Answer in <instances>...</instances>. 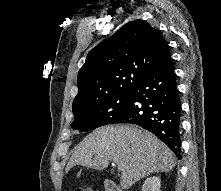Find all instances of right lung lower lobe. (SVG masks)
<instances>
[{
  "instance_id": "98d812e1",
  "label": "right lung lower lobe",
  "mask_w": 221,
  "mask_h": 191,
  "mask_svg": "<svg viewBox=\"0 0 221 191\" xmlns=\"http://www.w3.org/2000/svg\"><path fill=\"white\" fill-rule=\"evenodd\" d=\"M132 93L127 112L116 123L137 124L155 134L175 154L180 153L181 102L170 53Z\"/></svg>"
}]
</instances>
